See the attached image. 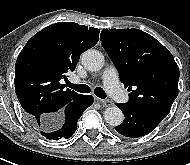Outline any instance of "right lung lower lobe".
I'll return each mask as SVG.
<instances>
[{
    "label": "right lung lower lobe",
    "mask_w": 190,
    "mask_h": 165,
    "mask_svg": "<svg viewBox=\"0 0 190 165\" xmlns=\"http://www.w3.org/2000/svg\"><path fill=\"white\" fill-rule=\"evenodd\" d=\"M93 96L82 95L68 104L59 114L43 123L36 122L32 117L26 115L29 125L40 132L47 139L59 140L70 138L77 129L78 119L84 110L92 105Z\"/></svg>",
    "instance_id": "right-lung-lower-lobe-1"
}]
</instances>
